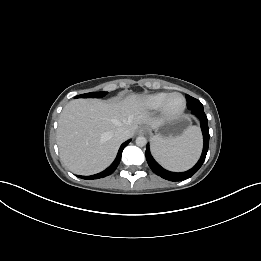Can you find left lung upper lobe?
<instances>
[{
    "label": "left lung upper lobe",
    "mask_w": 261,
    "mask_h": 261,
    "mask_svg": "<svg viewBox=\"0 0 261 261\" xmlns=\"http://www.w3.org/2000/svg\"><path fill=\"white\" fill-rule=\"evenodd\" d=\"M186 99H187V108L189 110L203 109V105L199 100H197L189 95H186Z\"/></svg>",
    "instance_id": "1"
}]
</instances>
